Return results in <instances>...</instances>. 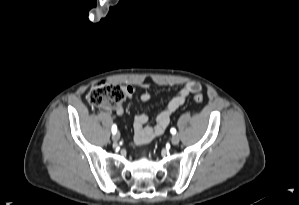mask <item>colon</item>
Returning a JSON list of instances; mask_svg holds the SVG:
<instances>
[{
	"instance_id": "obj_1",
	"label": "colon",
	"mask_w": 299,
	"mask_h": 205,
	"mask_svg": "<svg viewBox=\"0 0 299 205\" xmlns=\"http://www.w3.org/2000/svg\"><path fill=\"white\" fill-rule=\"evenodd\" d=\"M126 95L124 86L100 80L92 85L87 95V102L91 107L112 109L120 106ZM194 100L201 104L203 96L197 93L194 95Z\"/></svg>"
}]
</instances>
